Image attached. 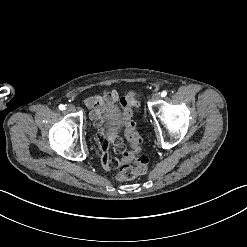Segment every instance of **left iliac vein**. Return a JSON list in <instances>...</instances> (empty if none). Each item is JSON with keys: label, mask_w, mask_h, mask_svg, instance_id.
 <instances>
[{"label": "left iliac vein", "mask_w": 247, "mask_h": 247, "mask_svg": "<svg viewBox=\"0 0 247 247\" xmlns=\"http://www.w3.org/2000/svg\"><path fill=\"white\" fill-rule=\"evenodd\" d=\"M159 99H160V93L155 92L152 94V96H151L152 101H158Z\"/></svg>", "instance_id": "left-iliac-vein-1"}]
</instances>
